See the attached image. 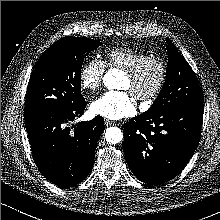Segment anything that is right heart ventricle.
I'll use <instances>...</instances> for the list:
<instances>
[{
  "label": "right heart ventricle",
  "mask_w": 220,
  "mask_h": 220,
  "mask_svg": "<svg viewBox=\"0 0 220 220\" xmlns=\"http://www.w3.org/2000/svg\"><path fill=\"white\" fill-rule=\"evenodd\" d=\"M149 54L131 47L113 48L105 52L106 64L111 68L128 70L141 62Z\"/></svg>",
  "instance_id": "obj_1"
}]
</instances>
